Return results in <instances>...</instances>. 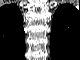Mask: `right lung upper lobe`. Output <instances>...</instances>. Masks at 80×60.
I'll use <instances>...</instances> for the list:
<instances>
[{"label": "right lung upper lobe", "instance_id": "cb5924a9", "mask_svg": "<svg viewBox=\"0 0 80 60\" xmlns=\"http://www.w3.org/2000/svg\"><path fill=\"white\" fill-rule=\"evenodd\" d=\"M25 33L23 19L15 4L5 5L0 9V51L9 54L22 51Z\"/></svg>", "mask_w": 80, "mask_h": 60}]
</instances>
